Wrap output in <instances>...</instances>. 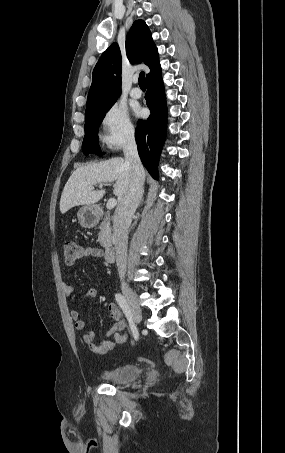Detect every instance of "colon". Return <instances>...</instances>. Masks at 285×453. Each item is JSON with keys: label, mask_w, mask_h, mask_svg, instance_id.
Returning <instances> with one entry per match:
<instances>
[{"label": "colon", "mask_w": 285, "mask_h": 453, "mask_svg": "<svg viewBox=\"0 0 285 453\" xmlns=\"http://www.w3.org/2000/svg\"><path fill=\"white\" fill-rule=\"evenodd\" d=\"M64 259L67 263L72 264L82 256V248L73 240H66L63 244ZM116 341L123 343L126 337L116 334Z\"/></svg>", "instance_id": "5ec220e1"}]
</instances>
